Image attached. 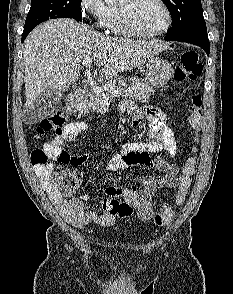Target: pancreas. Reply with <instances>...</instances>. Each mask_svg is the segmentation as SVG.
I'll list each match as a JSON object with an SVG mask.
<instances>
[{
	"label": "pancreas",
	"mask_w": 233,
	"mask_h": 294,
	"mask_svg": "<svg viewBox=\"0 0 233 294\" xmlns=\"http://www.w3.org/2000/svg\"><path fill=\"white\" fill-rule=\"evenodd\" d=\"M112 89L122 90V95L135 100H143L150 97L154 93V89L147 82H143L137 77L131 79V85L129 87L122 85V80L118 79L109 83L106 86L94 88L88 92L87 97L80 103L78 111L80 114H88L90 110H96L105 100H112L113 97L119 95H111L109 93Z\"/></svg>",
	"instance_id": "obj_1"
}]
</instances>
